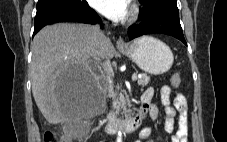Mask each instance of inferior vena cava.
<instances>
[{
	"label": "inferior vena cava",
	"mask_w": 227,
	"mask_h": 142,
	"mask_svg": "<svg viewBox=\"0 0 227 142\" xmlns=\"http://www.w3.org/2000/svg\"><path fill=\"white\" fill-rule=\"evenodd\" d=\"M105 39L104 33L100 30L98 26L93 27V41L96 46H100L101 42Z\"/></svg>",
	"instance_id": "1"
}]
</instances>
